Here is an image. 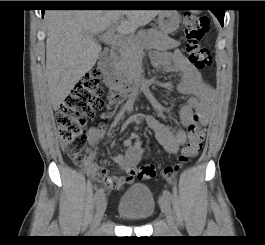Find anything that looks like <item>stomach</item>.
I'll return each instance as SVG.
<instances>
[{"label":"stomach","mask_w":265,"mask_h":245,"mask_svg":"<svg viewBox=\"0 0 265 245\" xmlns=\"http://www.w3.org/2000/svg\"><path fill=\"white\" fill-rule=\"evenodd\" d=\"M181 19L177 11H163L158 15V28L163 34H170L178 29Z\"/></svg>","instance_id":"obj_1"}]
</instances>
